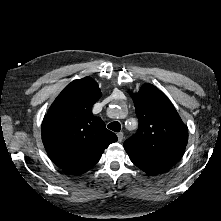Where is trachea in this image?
<instances>
[{
	"label": "trachea",
	"mask_w": 221,
	"mask_h": 221,
	"mask_svg": "<svg viewBox=\"0 0 221 221\" xmlns=\"http://www.w3.org/2000/svg\"><path fill=\"white\" fill-rule=\"evenodd\" d=\"M108 128L114 132H120L121 130V125L119 122L117 121H114V122H111L109 125H108Z\"/></svg>",
	"instance_id": "1"
}]
</instances>
